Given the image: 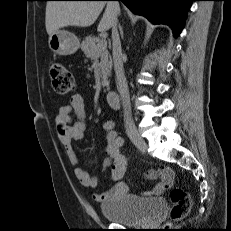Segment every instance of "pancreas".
<instances>
[{"label":"pancreas","instance_id":"pancreas-1","mask_svg":"<svg viewBox=\"0 0 231 231\" xmlns=\"http://www.w3.org/2000/svg\"><path fill=\"white\" fill-rule=\"evenodd\" d=\"M99 39L93 36H87L81 43V50L85 56L91 60L99 59V69L101 73V85L103 87L109 86L108 76L111 75L112 60L106 48L98 47Z\"/></svg>","mask_w":231,"mask_h":231}]
</instances>
